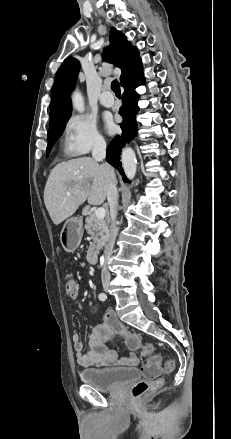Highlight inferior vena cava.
I'll use <instances>...</instances> for the list:
<instances>
[{"label": "inferior vena cava", "instance_id": "inferior-vena-cava-1", "mask_svg": "<svg viewBox=\"0 0 231 439\" xmlns=\"http://www.w3.org/2000/svg\"><path fill=\"white\" fill-rule=\"evenodd\" d=\"M92 156L96 161H103L106 157V142L103 140H97L94 143L93 150H92ZM106 167H108L111 172L110 176L108 178V184H107V200L110 207V217H111V224H110V230H109V236H108V243L105 248V258L104 263L102 265L101 270V279L102 281H109L111 276L109 272V260L112 254V250L114 248L115 244V238L117 233V223H116V217H117V208H118V191H117V180L114 175L113 169L108 165L104 164Z\"/></svg>", "mask_w": 231, "mask_h": 439}]
</instances>
